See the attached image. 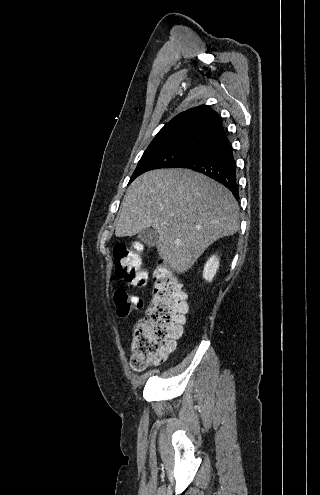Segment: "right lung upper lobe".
Masks as SVG:
<instances>
[{"mask_svg": "<svg viewBox=\"0 0 320 495\" xmlns=\"http://www.w3.org/2000/svg\"><path fill=\"white\" fill-rule=\"evenodd\" d=\"M223 130L217 112L207 105H200L178 114L165 124L149 146L183 139L208 140Z\"/></svg>", "mask_w": 320, "mask_h": 495, "instance_id": "right-lung-upper-lobe-1", "label": "right lung upper lobe"}]
</instances>
